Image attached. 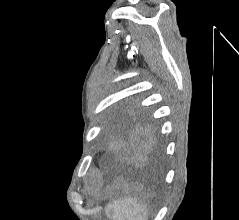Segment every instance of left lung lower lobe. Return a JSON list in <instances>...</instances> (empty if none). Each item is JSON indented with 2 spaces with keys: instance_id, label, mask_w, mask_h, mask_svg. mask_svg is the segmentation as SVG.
<instances>
[{
  "instance_id": "0a47b994",
  "label": "left lung lower lobe",
  "mask_w": 239,
  "mask_h": 220,
  "mask_svg": "<svg viewBox=\"0 0 239 220\" xmlns=\"http://www.w3.org/2000/svg\"><path fill=\"white\" fill-rule=\"evenodd\" d=\"M111 164L139 161L146 156L159 158V149L153 129L137 116L122 118L108 137Z\"/></svg>"
}]
</instances>
